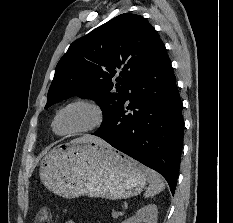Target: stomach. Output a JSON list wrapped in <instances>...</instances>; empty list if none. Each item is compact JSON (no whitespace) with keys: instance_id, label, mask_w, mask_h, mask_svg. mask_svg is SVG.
Masks as SVG:
<instances>
[{"instance_id":"stomach-1","label":"stomach","mask_w":233,"mask_h":223,"mask_svg":"<svg viewBox=\"0 0 233 223\" xmlns=\"http://www.w3.org/2000/svg\"><path fill=\"white\" fill-rule=\"evenodd\" d=\"M40 179L61 197L127 199L143 191L147 167L113 147L91 141L59 143L41 159Z\"/></svg>"}]
</instances>
